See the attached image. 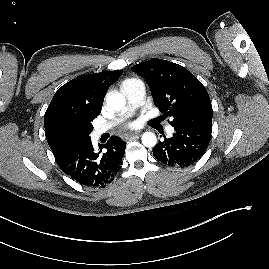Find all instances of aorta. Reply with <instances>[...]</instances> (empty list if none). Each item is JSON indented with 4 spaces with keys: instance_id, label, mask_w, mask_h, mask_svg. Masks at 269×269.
Wrapping results in <instances>:
<instances>
[{
    "instance_id": "obj_1",
    "label": "aorta",
    "mask_w": 269,
    "mask_h": 269,
    "mask_svg": "<svg viewBox=\"0 0 269 269\" xmlns=\"http://www.w3.org/2000/svg\"><path fill=\"white\" fill-rule=\"evenodd\" d=\"M107 105L116 111L122 110L126 104L125 97L118 92L111 93L106 98ZM142 144L145 147H154L157 144L156 135L153 132H145L142 135Z\"/></svg>"
}]
</instances>
